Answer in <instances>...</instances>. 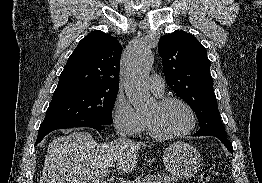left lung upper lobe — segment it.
Instances as JSON below:
<instances>
[{"mask_svg": "<svg viewBox=\"0 0 262 183\" xmlns=\"http://www.w3.org/2000/svg\"><path fill=\"white\" fill-rule=\"evenodd\" d=\"M168 86L195 112L200 129L195 136H226L213 91L206 49L184 31L162 36L158 45Z\"/></svg>", "mask_w": 262, "mask_h": 183, "instance_id": "obj_1", "label": "left lung upper lobe"}]
</instances>
